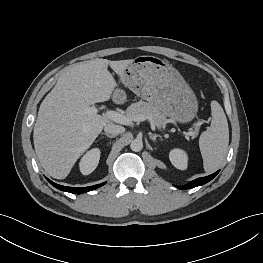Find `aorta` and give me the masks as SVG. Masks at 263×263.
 <instances>
[{
  "instance_id": "aorta-1",
  "label": "aorta",
  "mask_w": 263,
  "mask_h": 263,
  "mask_svg": "<svg viewBox=\"0 0 263 263\" xmlns=\"http://www.w3.org/2000/svg\"><path fill=\"white\" fill-rule=\"evenodd\" d=\"M130 148L132 151L134 152H139L142 150L143 148V142L140 139H134L131 144H130Z\"/></svg>"
}]
</instances>
